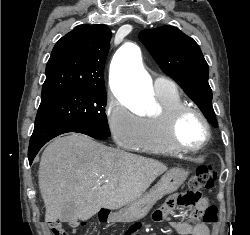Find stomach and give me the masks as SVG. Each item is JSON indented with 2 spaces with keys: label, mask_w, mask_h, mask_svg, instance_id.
<instances>
[{
  "label": "stomach",
  "mask_w": 250,
  "mask_h": 235,
  "mask_svg": "<svg viewBox=\"0 0 250 235\" xmlns=\"http://www.w3.org/2000/svg\"><path fill=\"white\" fill-rule=\"evenodd\" d=\"M187 177L188 172L183 168L169 170L149 192L144 193L125 208L114 213L111 220L133 222L142 219L158 200L178 190Z\"/></svg>",
  "instance_id": "1"
}]
</instances>
